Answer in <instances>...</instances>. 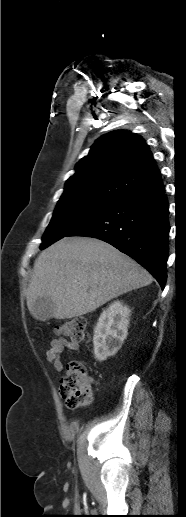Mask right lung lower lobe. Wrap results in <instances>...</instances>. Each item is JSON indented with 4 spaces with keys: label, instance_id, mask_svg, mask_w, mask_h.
Instances as JSON below:
<instances>
[{
    "label": "right lung lower lobe",
    "instance_id": "98d812e1",
    "mask_svg": "<svg viewBox=\"0 0 186 517\" xmlns=\"http://www.w3.org/2000/svg\"><path fill=\"white\" fill-rule=\"evenodd\" d=\"M162 181L133 190L67 236L103 240L135 259L165 287L170 231Z\"/></svg>",
    "mask_w": 186,
    "mask_h": 517
}]
</instances>
